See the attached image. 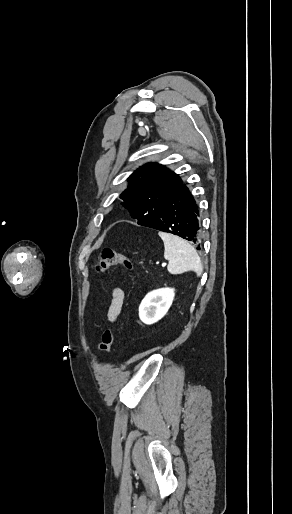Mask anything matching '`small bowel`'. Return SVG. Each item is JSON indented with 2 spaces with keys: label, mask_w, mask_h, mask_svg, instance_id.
<instances>
[{
  "label": "small bowel",
  "mask_w": 292,
  "mask_h": 514,
  "mask_svg": "<svg viewBox=\"0 0 292 514\" xmlns=\"http://www.w3.org/2000/svg\"><path fill=\"white\" fill-rule=\"evenodd\" d=\"M111 296V302L107 310V320L114 323L122 311L125 295L122 289L115 287L111 290Z\"/></svg>",
  "instance_id": "obj_1"
}]
</instances>
